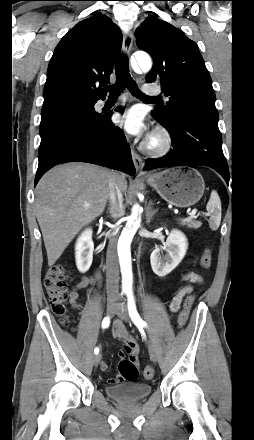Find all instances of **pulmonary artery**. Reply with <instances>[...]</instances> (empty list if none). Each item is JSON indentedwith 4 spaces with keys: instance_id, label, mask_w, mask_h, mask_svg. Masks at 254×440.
Instances as JSON below:
<instances>
[{
    "instance_id": "1",
    "label": "pulmonary artery",
    "mask_w": 254,
    "mask_h": 440,
    "mask_svg": "<svg viewBox=\"0 0 254 440\" xmlns=\"http://www.w3.org/2000/svg\"><path fill=\"white\" fill-rule=\"evenodd\" d=\"M142 92L146 96H152V95H155V94H159L160 93V88L158 86H143L142 87ZM104 105H105L104 102L100 103V107H103Z\"/></svg>"
}]
</instances>
